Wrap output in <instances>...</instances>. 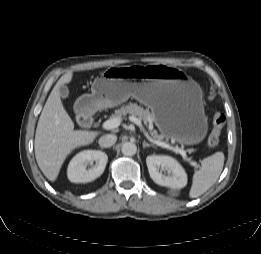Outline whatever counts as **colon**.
Masks as SVG:
<instances>
[{
	"instance_id": "obj_1",
	"label": "colon",
	"mask_w": 261,
	"mask_h": 254,
	"mask_svg": "<svg viewBox=\"0 0 261 254\" xmlns=\"http://www.w3.org/2000/svg\"><path fill=\"white\" fill-rule=\"evenodd\" d=\"M225 122L226 117L222 113H215L213 115V127L208 138L209 148H214L219 143L220 135Z\"/></svg>"
}]
</instances>
